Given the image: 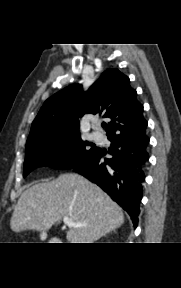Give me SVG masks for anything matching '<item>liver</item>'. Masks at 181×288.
<instances>
[{
  "label": "liver",
  "instance_id": "obj_1",
  "mask_svg": "<svg viewBox=\"0 0 181 288\" xmlns=\"http://www.w3.org/2000/svg\"><path fill=\"white\" fill-rule=\"evenodd\" d=\"M63 217L82 227H69L71 243H93L119 228L124 214L100 187L75 173L36 183L20 196L10 220L14 232L37 230L43 234Z\"/></svg>",
  "mask_w": 181,
  "mask_h": 288
}]
</instances>
